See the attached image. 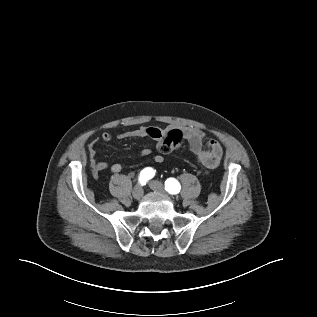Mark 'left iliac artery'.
<instances>
[{
	"mask_svg": "<svg viewBox=\"0 0 317 317\" xmlns=\"http://www.w3.org/2000/svg\"><path fill=\"white\" fill-rule=\"evenodd\" d=\"M180 189L181 185L175 178H169L165 181V190L170 194H177Z\"/></svg>",
	"mask_w": 317,
	"mask_h": 317,
	"instance_id": "obj_1",
	"label": "left iliac artery"
}]
</instances>
